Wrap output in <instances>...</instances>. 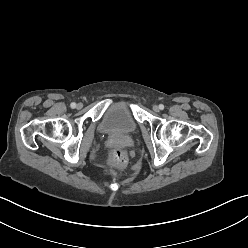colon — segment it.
<instances>
[{"instance_id":"1","label":"colon","mask_w":248,"mask_h":248,"mask_svg":"<svg viewBox=\"0 0 248 248\" xmlns=\"http://www.w3.org/2000/svg\"><path fill=\"white\" fill-rule=\"evenodd\" d=\"M126 153L120 148H112L108 154V164L113 170L121 169L126 163Z\"/></svg>"}]
</instances>
